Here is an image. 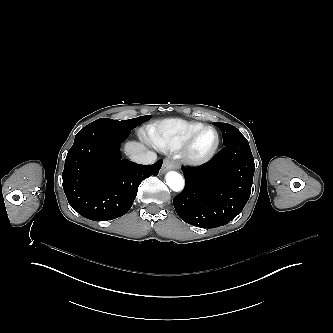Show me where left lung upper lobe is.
<instances>
[{
    "mask_svg": "<svg viewBox=\"0 0 333 333\" xmlns=\"http://www.w3.org/2000/svg\"><path fill=\"white\" fill-rule=\"evenodd\" d=\"M215 126L219 127L223 133V143L224 146L230 144L231 142L246 139L240 131L227 123H213Z\"/></svg>",
    "mask_w": 333,
    "mask_h": 333,
    "instance_id": "5c2ea615",
    "label": "left lung upper lobe"
}]
</instances>
